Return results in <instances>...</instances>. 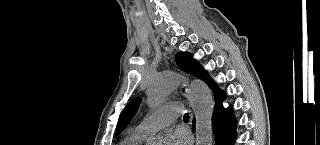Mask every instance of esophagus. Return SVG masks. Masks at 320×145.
Segmentation results:
<instances>
[{
    "mask_svg": "<svg viewBox=\"0 0 320 145\" xmlns=\"http://www.w3.org/2000/svg\"><path fill=\"white\" fill-rule=\"evenodd\" d=\"M181 92L184 94V95H187L188 93V80L184 81L181 85Z\"/></svg>",
    "mask_w": 320,
    "mask_h": 145,
    "instance_id": "obj_1",
    "label": "esophagus"
}]
</instances>
